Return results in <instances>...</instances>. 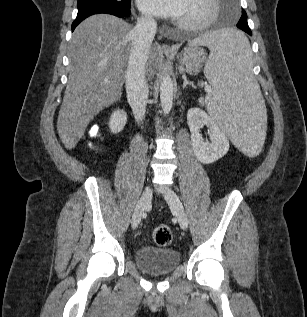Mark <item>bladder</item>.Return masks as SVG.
I'll list each match as a JSON object with an SVG mask.
<instances>
[{"instance_id":"1","label":"bladder","mask_w":307,"mask_h":317,"mask_svg":"<svg viewBox=\"0 0 307 317\" xmlns=\"http://www.w3.org/2000/svg\"><path fill=\"white\" fill-rule=\"evenodd\" d=\"M135 263L147 275H165L181 262L180 254L172 248L140 247L134 254Z\"/></svg>"}]
</instances>
